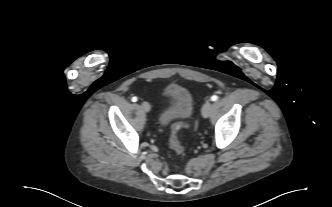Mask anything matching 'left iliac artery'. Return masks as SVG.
<instances>
[{
  "instance_id": "left-iliac-artery-1",
  "label": "left iliac artery",
  "mask_w": 332,
  "mask_h": 207,
  "mask_svg": "<svg viewBox=\"0 0 332 207\" xmlns=\"http://www.w3.org/2000/svg\"><path fill=\"white\" fill-rule=\"evenodd\" d=\"M218 99V96L217 95H213L212 97H211V101H216Z\"/></svg>"
}]
</instances>
